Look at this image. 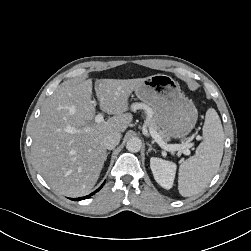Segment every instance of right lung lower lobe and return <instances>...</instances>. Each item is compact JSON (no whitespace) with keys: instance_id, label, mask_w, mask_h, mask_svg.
Returning a JSON list of instances; mask_svg holds the SVG:
<instances>
[{"instance_id":"obj_1","label":"right lung lower lobe","mask_w":251,"mask_h":251,"mask_svg":"<svg viewBox=\"0 0 251 251\" xmlns=\"http://www.w3.org/2000/svg\"><path fill=\"white\" fill-rule=\"evenodd\" d=\"M103 185H104V184H102L95 192L91 193L90 195H87V196L81 197V198H74V199H71V200L79 201V200L87 199V198H89L90 196H92L93 194H95L97 191H99V190L102 188Z\"/></svg>"}]
</instances>
